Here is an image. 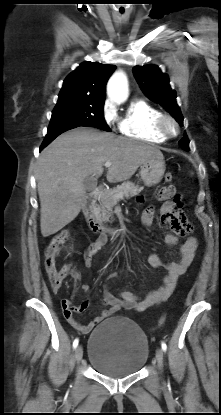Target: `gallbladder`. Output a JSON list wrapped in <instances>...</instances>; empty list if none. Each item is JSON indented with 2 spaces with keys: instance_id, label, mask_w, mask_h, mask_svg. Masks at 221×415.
Listing matches in <instances>:
<instances>
[{
  "instance_id": "obj_1",
  "label": "gallbladder",
  "mask_w": 221,
  "mask_h": 415,
  "mask_svg": "<svg viewBox=\"0 0 221 415\" xmlns=\"http://www.w3.org/2000/svg\"><path fill=\"white\" fill-rule=\"evenodd\" d=\"M97 180L95 178L87 177L83 181V186L86 191H91L95 188Z\"/></svg>"
}]
</instances>
